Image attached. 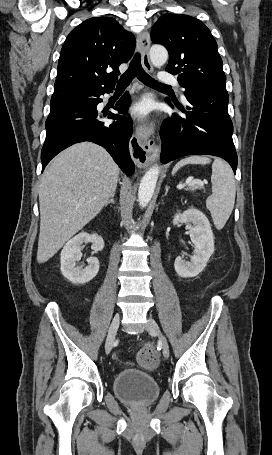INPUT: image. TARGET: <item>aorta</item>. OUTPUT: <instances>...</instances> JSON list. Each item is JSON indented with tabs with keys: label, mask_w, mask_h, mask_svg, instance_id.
<instances>
[{
	"label": "aorta",
	"mask_w": 272,
	"mask_h": 455,
	"mask_svg": "<svg viewBox=\"0 0 272 455\" xmlns=\"http://www.w3.org/2000/svg\"><path fill=\"white\" fill-rule=\"evenodd\" d=\"M150 59L154 66L161 67L168 59V52L163 46L154 45L150 49ZM159 172V166H153L145 173L141 180L138 190V202L142 208H145L152 199Z\"/></svg>",
	"instance_id": "1"
}]
</instances>
